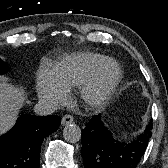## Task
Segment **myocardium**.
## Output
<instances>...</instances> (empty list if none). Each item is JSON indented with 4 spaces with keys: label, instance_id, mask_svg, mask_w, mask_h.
Returning <instances> with one entry per match:
<instances>
[{
    "label": "myocardium",
    "instance_id": "obj_1",
    "mask_svg": "<svg viewBox=\"0 0 168 168\" xmlns=\"http://www.w3.org/2000/svg\"><path fill=\"white\" fill-rule=\"evenodd\" d=\"M122 78V68L113 59H107L91 77L79 87L82 102L90 109L104 107Z\"/></svg>",
    "mask_w": 168,
    "mask_h": 168
}]
</instances>
